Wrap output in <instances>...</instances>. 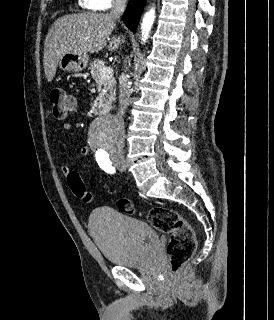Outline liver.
I'll return each instance as SVG.
<instances>
[{"label":"liver","mask_w":274,"mask_h":320,"mask_svg":"<svg viewBox=\"0 0 274 320\" xmlns=\"http://www.w3.org/2000/svg\"><path fill=\"white\" fill-rule=\"evenodd\" d=\"M117 18L110 14H69L62 16L50 28L44 44L43 66L47 82H52L58 62L65 54H96L109 42L110 52H116L123 40L110 36Z\"/></svg>","instance_id":"liver-1"}]
</instances>
